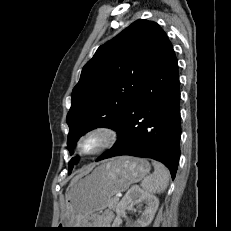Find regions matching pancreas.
Here are the masks:
<instances>
[{"mask_svg":"<svg viewBox=\"0 0 231 231\" xmlns=\"http://www.w3.org/2000/svg\"><path fill=\"white\" fill-rule=\"evenodd\" d=\"M118 201H119V200L116 199L115 197H114V198H111L110 201H109V204H108L109 208H111V209L116 208V207H117V204H118Z\"/></svg>","mask_w":231,"mask_h":231,"instance_id":"cf45deb5","label":"pancreas"}]
</instances>
